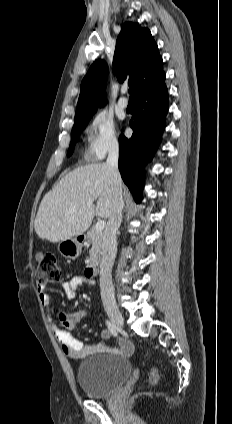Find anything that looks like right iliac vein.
Instances as JSON below:
<instances>
[{
    "label": "right iliac vein",
    "mask_w": 232,
    "mask_h": 424,
    "mask_svg": "<svg viewBox=\"0 0 232 424\" xmlns=\"http://www.w3.org/2000/svg\"><path fill=\"white\" fill-rule=\"evenodd\" d=\"M105 311L108 314L110 320L117 328H122L124 324L123 316L115 304H106Z\"/></svg>",
    "instance_id": "1"
}]
</instances>
